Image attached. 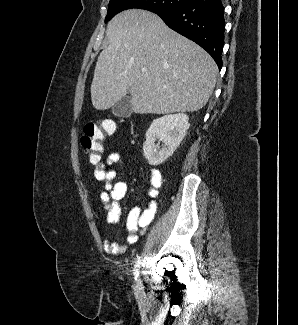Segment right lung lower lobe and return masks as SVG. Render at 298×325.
Listing matches in <instances>:
<instances>
[{"instance_id": "1", "label": "right lung lower lobe", "mask_w": 298, "mask_h": 325, "mask_svg": "<svg viewBox=\"0 0 298 325\" xmlns=\"http://www.w3.org/2000/svg\"><path fill=\"white\" fill-rule=\"evenodd\" d=\"M155 13L171 29L205 49L221 69L225 30L221 0H190L178 9Z\"/></svg>"}]
</instances>
